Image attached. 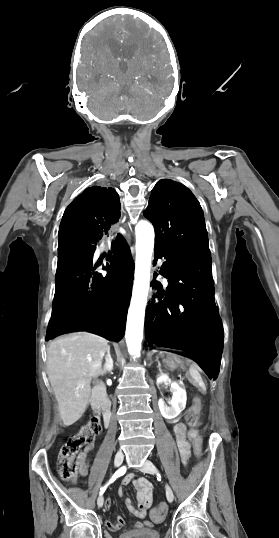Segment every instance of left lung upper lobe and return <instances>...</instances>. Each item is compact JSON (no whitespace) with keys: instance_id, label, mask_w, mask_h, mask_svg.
Instances as JSON below:
<instances>
[{"instance_id":"5c2ea615","label":"left lung upper lobe","mask_w":279,"mask_h":538,"mask_svg":"<svg viewBox=\"0 0 279 538\" xmlns=\"http://www.w3.org/2000/svg\"><path fill=\"white\" fill-rule=\"evenodd\" d=\"M144 216L155 227V246L186 258H211L201 206L184 185L169 179L157 182Z\"/></svg>"}]
</instances>
